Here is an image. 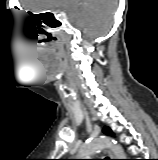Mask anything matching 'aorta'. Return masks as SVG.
Returning <instances> with one entry per match:
<instances>
[{"label": "aorta", "mask_w": 158, "mask_h": 160, "mask_svg": "<svg viewBox=\"0 0 158 160\" xmlns=\"http://www.w3.org/2000/svg\"><path fill=\"white\" fill-rule=\"evenodd\" d=\"M105 147H108L112 150L116 159H125L126 155L121 145L115 143L109 138H97L83 145L79 151L78 157L79 159H85V157H88L94 152Z\"/></svg>", "instance_id": "1"}]
</instances>
